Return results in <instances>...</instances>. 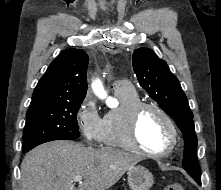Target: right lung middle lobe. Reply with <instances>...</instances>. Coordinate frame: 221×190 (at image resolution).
I'll return each mask as SVG.
<instances>
[{"instance_id":"dd1d6c3e","label":"right lung middle lobe","mask_w":221,"mask_h":190,"mask_svg":"<svg viewBox=\"0 0 221 190\" xmlns=\"http://www.w3.org/2000/svg\"><path fill=\"white\" fill-rule=\"evenodd\" d=\"M81 102L44 103L29 106L23 133V152L53 140L80 136L77 112Z\"/></svg>"}]
</instances>
